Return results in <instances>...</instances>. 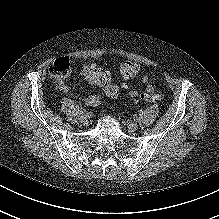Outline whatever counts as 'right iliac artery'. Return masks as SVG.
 <instances>
[{"instance_id": "obj_1", "label": "right iliac artery", "mask_w": 219, "mask_h": 219, "mask_svg": "<svg viewBox=\"0 0 219 219\" xmlns=\"http://www.w3.org/2000/svg\"><path fill=\"white\" fill-rule=\"evenodd\" d=\"M80 112L83 114V113L86 112V110L82 108V109L80 110Z\"/></svg>"}]
</instances>
